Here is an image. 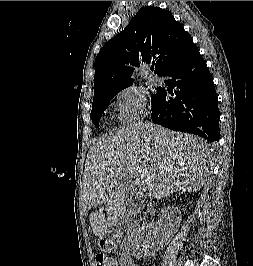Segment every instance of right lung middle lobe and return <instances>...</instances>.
<instances>
[{
	"label": "right lung middle lobe",
	"instance_id": "1",
	"mask_svg": "<svg viewBox=\"0 0 253 266\" xmlns=\"http://www.w3.org/2000/svg\"><path fill=\"white\" fill-rule=\"evenodd\" d=\"M118 92L119 91L108 93V94L102 96L101 98L97 99L96 101H93L91 117H92V121L96 127H99V121H100L102 114L105 111L106 106L112 100L114 95ZM158 98H159V91L157 90L156 94L151 95L152 105H154V103L158 100Z\"/></svg>",
	"mask_w": 253,
	"mask_h": 266
}]
</instances>
